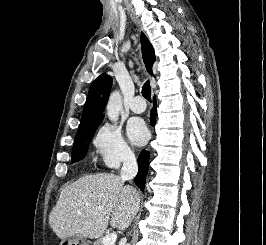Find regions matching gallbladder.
Returning <instances> with one entry per match:
<instances>
[{
	"label": "gallbladder",
	"instance_id": "obj_1",
	"mask_svg": "<svg viewBox=\"0 0 266 245\" xmlns=\"http://www.w3.org/2000/svg\"><path fill=\"white\" fill-rule=\"evenodd\" d=\"M74 239H76V237H72L71 241H74Z\"/></svg>",
	"mask_w": 266,
	"mask_h": 245
}]
</instances>
